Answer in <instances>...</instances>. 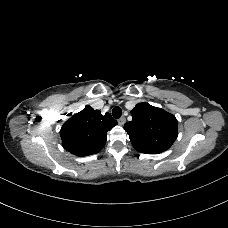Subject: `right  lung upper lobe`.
Returning a JSON list of instances; mask_svg holds the SVG:
<instances>
[{
	"instance_id": "cb5924a9",
	"label": "right lung upper lobe",
	"mask_w": 228,
	"mask_h": 228,
	"mask_svg": "<svg viewBox=\"0 0 228 228\" xmlns=\"http://www.w3.org/2000/svg\"><path fill=\"white\" fill-rule=\"evenodd\" d=\"M117 124L109 113L102 115L99 110L86 106L63 124L62 145L76 156L95 154L105 145L107 132Z\"/></svg>"
}]
</instances>
